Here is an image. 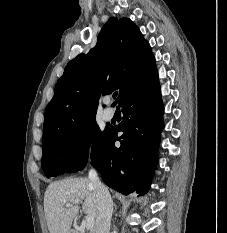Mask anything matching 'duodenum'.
<instances>
[{
	"instance_id": "duodenum-1",
	"label": "duodenum",
	"mask_w": 227,
	"mask_h": 233,
	"mask_svg": "<svg viewBox=\"0 0 227 233\" xmlns=\"http://www.w3.org/2000/svg\"><path fill=\"white\" fill-rule=\"evenodd\" d=\"M72 233H79L78 231H73Z\"/></svg>"
}]
</instances>
